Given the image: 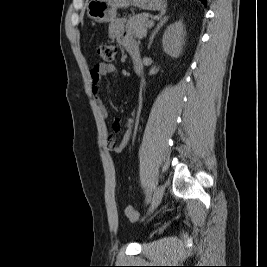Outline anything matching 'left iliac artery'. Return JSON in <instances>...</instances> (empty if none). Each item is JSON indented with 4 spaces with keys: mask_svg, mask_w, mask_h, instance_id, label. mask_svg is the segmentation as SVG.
Returning <instances> with one entry per match:
<instances>
[{
    "mask_svg": "<svg viewBox=\"0 0 267 267\" xmlns=\"http://www.w3.org/2000/svg\"><path fill=\"white\" fill-rule=\"evenodd\" d=\"M151 200V190H148L147 193H146V203H149Z\"/></svg>",
    "mask_w": 267,
    "mask_h": 267,
    "instance_id": "left-iliac-artery-1",
    "label": "left iliac artery"
}]
</instances>
